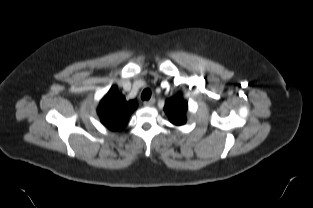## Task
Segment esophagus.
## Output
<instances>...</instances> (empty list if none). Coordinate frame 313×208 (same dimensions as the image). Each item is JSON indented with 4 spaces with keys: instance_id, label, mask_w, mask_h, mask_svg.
Listing matches in <instances>:
<instances>
[{
    "instance_id": "34e87169",
    "label": "esophagus",
    "mask_w": 313,
    "mask_h": 208,
    "mask_svg": "<svg viewBox=\"0 0 313 208\" xmlns=\"http://www.w3.org/2000/svg\"><path fill=\"white\" fill-rule=\"evenodd\" d=\"M154 103H155V98H151L150 100L144 101V105L147 107L154 105Z\"/></svg>"
}]
</instances>
